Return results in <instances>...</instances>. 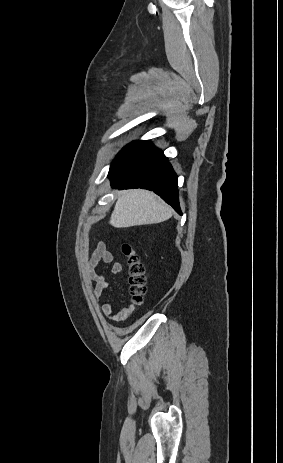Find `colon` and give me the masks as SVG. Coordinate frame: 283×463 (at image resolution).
I'll return each mask as SVG.
<instances>
[{"label":"colon","mask_w":283,"mask_h":463,"mask_svg":"<svg viewBox=\"0 0 283 463\" xmlns=\"http://www.w3.org/2000/svg\"><path fill=\"white\" fill-rule=\"evenodd\" d=\"M123 253L127 257L129 294L132 305L142 303L147 287V270L129 244H124Z\"/></svg>","instance_id":"5ec220e1"}]
</instances>
